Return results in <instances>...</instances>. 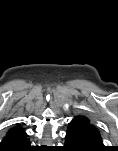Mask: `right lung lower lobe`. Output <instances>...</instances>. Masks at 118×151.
Instances as JSON below:
<instances>
[{
    "label": "right lung lower lobe",
    "instance_id": "right-lung-lower-lobe-1",
    "mask_svg": "<svg viewBox=\"0 0 118 151\" xmlns=\"http://www.w3.org/2000/svg\"><path fill=\"white\" fill-rule=\"evenodd\" d=\"M31 146L29 145V142L28 140L25 141L24 143H22L21 145H19L15 151H28V150H31ZM9 150V149H8ZM2 151V150H1ZM4 151H6V149H4Z\"/></svg>",
    "mask_w": 118,
    "mask_h": 151
}]
</instances>
